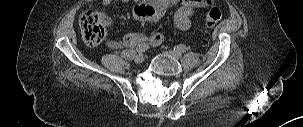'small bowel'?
Listing matches in <instances>:
<instances>
[{
	"mask_svg": "<svg viewBox=\"0 0 303 127\" xmlns=\"http://www.w3.org/2000/svg\"><path fill=\"white\" fill-rule=\"evenodd\" d=\"M114 0H100L101 5L109 6ZM129 2L130 0H120ZM135 4L133 8L134 17L142 24H149L162 18L167 10L179 5L174 14V24L181 30H186L191 25V16L195 8L206 7L211 4V0H132ZM146 8H149L150 14H144ZM105 24L109 25L111 19L107 15H102ZM164 40L160 32H133L127 34L122 40H110L107 46L111 49H122L124 47H133L140 44H149L158 46Z\"/></svg>",
	"mask_w": 303,
	"mask_h": 127,
	"instance_id": "1",
	"label": "small bowel"
}]
</instances>
